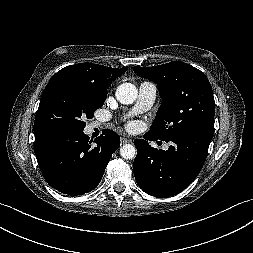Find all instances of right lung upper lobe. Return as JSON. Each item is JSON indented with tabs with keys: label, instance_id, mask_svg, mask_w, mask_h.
<instances>
[{
	"label": "right lung upper lobe",
	"instance_id": "right-lung-upper-lobe-1",
	"mask_svg": "<svg viewBox=\"0 0 253 253\" xmlns=\"http://www.w3.org/2000/svg\"><path fill=\"white\" fill-rule=\"evenodd\" d=\"M126 70L127 68L115 69L98 64L79 63L61 69L51 80L59 78L78 80L96 89L107 91V87L111 85L112 81Z\"/></svg>",
	"mask_w": 253,
	"mask_h": 253
}]
</instances>
